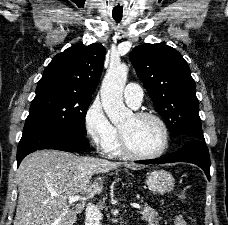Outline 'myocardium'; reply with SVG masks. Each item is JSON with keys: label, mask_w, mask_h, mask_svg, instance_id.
<instances>
[{"label": "myocardium", "mask_w": 228, "mask_h": 225, "mask_svg": "<svg viewBox=\"0 0 228 225\" xmlns=\"http://www.w3.org/2000/svg\"><path fill=\"white\" fill-rule=\"evenodd\" d=\"M134 116L138 119H145V118H151L156 120L162 127L163 132H164V143L162 148L155 154L151 155H146V154H141L134 150L128 139L126 134L124 133L123 130L120 131V144L121 148L124 154H126L129 157L135 158V159H140V160H155L164 155V153L167 151L169 143H170V131L167 123L157 114L150 113V112H138L135 113Z\"/></svg>", "instance_id": "myocardium-1"}]
</instances>
